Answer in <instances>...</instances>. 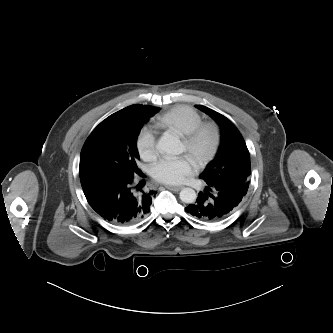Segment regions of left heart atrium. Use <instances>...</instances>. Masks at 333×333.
I'll return each instance as SVG.
<instances>
[{
	"label": "left heart atrium",
	"instance_id": "39dd6f15",
	"mask_svg": "<svg viewBox=\"0 0 333 333\" xmlns=\"http://www.w3.org/2000/svg\"><path fill=\"white\" fill-rule=\"evenodd\" d=\"M196 170V164L188 155L165 157L152 167V177L163 184L177 185L183 183Z\"/></svg>",
	"mask_w": 333,
	"mask_h": 333
}]
</instances>
